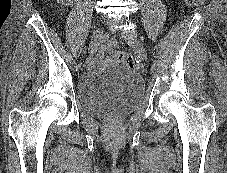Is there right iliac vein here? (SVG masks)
<instances>
[{"mask_svg":"<svg viewBox=\"0 0 227 173\" xmlns=\"http://www.w3.org/2000/svg\"><path fill=\"white\" fill-rule=\"evenodd\" d=\"M102 38H103L102 30L97 29L92 36V40H91L89 48H88L89 54H93L99 48V46L102 43Z\"/></svg>","mask_w":227,"mask_h":173,"instance_id":"63e3f726","label":"right iliac vein"}]
</instances>
